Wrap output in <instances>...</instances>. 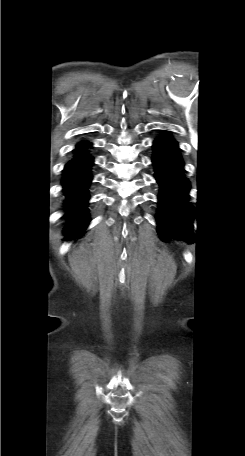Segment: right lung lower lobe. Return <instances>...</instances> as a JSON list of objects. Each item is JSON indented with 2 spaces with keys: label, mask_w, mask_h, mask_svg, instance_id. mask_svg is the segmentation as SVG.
Returning a JSON list of instances; mask_svg holds the SVG:
<instances>
[{
  "label": "right lung lower lobe",
  "mask_w": 245,
  "mask_h": 456,
  "mask_svg": "<svg viewBox=\"0 0 245 456\" xmlns=\"http://www.w3.org/2000/svg\"><path fill=\"white\" fill-rule=\"evenodd\" d=\"M90 147L91 143L89 142L77 144L73 151V158L64 168L62 185L66 195L64 207L67 220L65 227L67 239H74L81 235L89 224L88 187L92 180L90 168L93 164V157L88 152Z\"/></svg>",
  "instance_id": "right-lung-lower-lobe-1"
}]
</instances>
